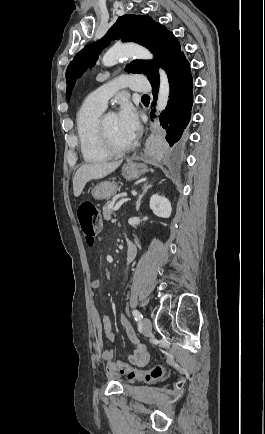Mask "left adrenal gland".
Listing matches in <instances>:
<instances>
[{"instance_id":"1","label":"left adrenal gland","mask_w":265,"mask_h":434,"mask_svg":"<svg viewBox=\"0 0 265 434\" xmlns=\"http://www.w3.org/2000/svg\"><path fill=\"white\" fill-rule=\"evenodd\" d=\"M149 188H152L151 184H149V182H145V184H143V188H142L143 192H142V194H140V196L136 202L137 212H139L141 200H142L143 196H145V194H146L147 190H149Z\"/></svg>"}]
</instances>
